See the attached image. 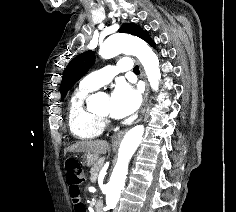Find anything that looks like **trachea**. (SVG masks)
<instances>
[{
    "label": "trachea",
    "instance_id": "obj_1",
    "mask_svg": "<svg viewBox=\"0 0 236 212\" xmlns=\"http://www.w3.org/2000/svg\"><path fill=\"white\" fill-rule=\"evenodd\" d=\"M133 72L134 73H140L139 67L137 65L133 68Z\"/></svg>",
    "mask_w": 236,
    "mask_h": 212
}]
</instances>
